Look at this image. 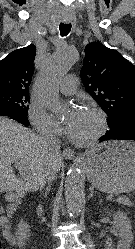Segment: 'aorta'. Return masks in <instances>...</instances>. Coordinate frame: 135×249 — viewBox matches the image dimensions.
I'll return each instance as SVG.
<instances>
[{
	"label": "aorta",
	"mask_w": 135,
	"mask_h": 249,
	"mask_svg": "<svg viewBox=\"0 0 135 249\" xmlns=\"http://www.w3.org/2000/svg\"><path fill=\"white\" fill-rule=\"evenodd\" d=\"M78 58V52L68 46L60 48L42 68L38 76V96L53 113L61 110L58 84ZM84 172L73 164L65 179V199L70 215L78 214L84 204Z\"/></svg>",
	"instance_id": "1"
}]
</instances>
